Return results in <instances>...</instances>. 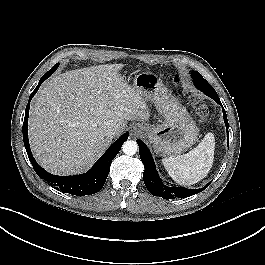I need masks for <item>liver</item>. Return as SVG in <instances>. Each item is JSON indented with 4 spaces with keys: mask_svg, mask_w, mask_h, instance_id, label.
<instances>
[{
    "mask_svg": "<svg viewBox=\"0 0 265 265\" xmlns=\"http://www.w3.org/2000/svg\"><path fill=\"white\" fill-rule=\"evenodd\" d=\"M123 64L76 69L48 81L29 115V141L38 163L56 175L86 171L130 120L150 117L146 101L128 85ZM116 135L109 137L107 130Z\"/></svg>",
    "mask_w": 265,
    "mask_h": 265,
    "instance_id": "liver-1",
    "label": "liver"
}]
</instances>
